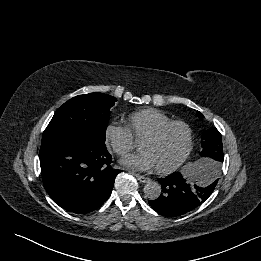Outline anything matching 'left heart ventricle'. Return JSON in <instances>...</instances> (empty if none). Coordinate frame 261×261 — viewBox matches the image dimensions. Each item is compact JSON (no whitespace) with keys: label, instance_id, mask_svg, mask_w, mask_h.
<instances>
[{"label":"left heart ventricle","instance_id":"obj_1","mask_svg":"<svg viewBox=\"0 0 261 261\" xmlns=\"http://www.w3.org/2000/svg\"><path fill=\"white\" fill-rule=\"evenodd\" d=\"M186 145V130L181 126H174L156 141L142 140L140 148L152 156L156 168H163L178 160Z\"/></svg>","mask_w":261,"mask_h":261}]
</instances>
